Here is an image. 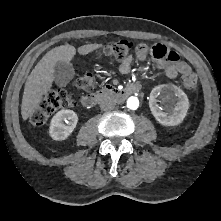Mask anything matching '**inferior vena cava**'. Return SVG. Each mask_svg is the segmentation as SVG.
Returning a JSON list of instances; mask_svg holds the SVG:
<instances>
[{"instance_id": "1", "label": "inferior vena cava", "mask_w": 221, "mask_h": 221, "mask_svg": "<svg viewBox=\"0 0 221 221\" xmlns=\"http://www.w3.org/2000/svg\"><path fill=\"white\" fill-rule=\"evenodd\" d=\"M116 105V101L111 97H104L100 101V108L104 111L112 110Z\"/></svg>"}]
</instances>
